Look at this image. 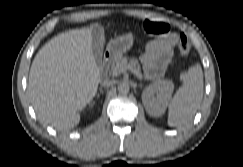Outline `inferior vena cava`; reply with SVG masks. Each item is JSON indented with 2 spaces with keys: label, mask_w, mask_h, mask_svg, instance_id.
<instances>
[{
  "label": "inferior vena cava",
  "mask_w": 243,
  "mask_h": 167,
  "mask_svg": "<svg viewBox=\"0 0 243 167\" xmlns=\"http://www.w3.org/2000/svg\"><path fill=\"white\" fill-rule=\"evenodd\" d=\"M112 83H113V81H111V80H105V81L102 83V85L105 86V87H108V86L112 85Z\"/></svg>",
  "instance_id": "obj_1"
}]
</instances>
